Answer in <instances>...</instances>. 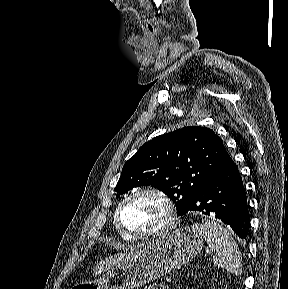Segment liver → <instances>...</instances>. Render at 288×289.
I'll list each match as a JSON object with an SVG mask.
<instances>
[{"label": "liver", "instance_id": "obj_1", "mask_svg": "<svg viewBox=\"0 0 288 289\" xmlns=\"http://www.w3.org/2000/svg\"><path fill=\"white\" fill-rule=\"evenodd\" d=\"M139 251H131L129 253H121L116 254L113 257L102 260L97 266L94 268V274H99L100 272L106 271L116 264H121L129 261L139 254Z\"/></svg>", "mask_w": 288, "mask_h": 289}]
</instances>
